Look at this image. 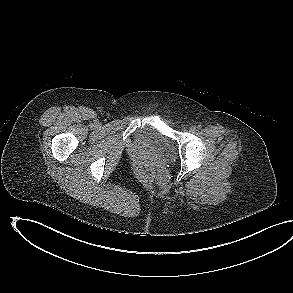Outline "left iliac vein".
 I'll list each match as a JSON object with an SVG mask.
<instances>
[{
	"label": "left iliac vein",
	"mask_w": 293,
	"mask_h": 293,
	"mask_svg": "<svg viewBox=\"0 0 293 293\" xmlns=\"http://www.w3.org/2000/svg\"><path fill=\"white\" fill-rule=\"evenodd\" d=\"M196 131V126H191L190 127V132H195Z\"/></svg>",
	"instance_id": "1"
}]
</instances>
